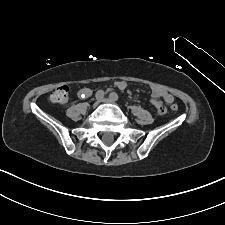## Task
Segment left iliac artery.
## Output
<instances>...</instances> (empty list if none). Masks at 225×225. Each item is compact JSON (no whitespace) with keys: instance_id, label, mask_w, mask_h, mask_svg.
Wrapping results in <instances>:
<instances>
[{"instance_id":"obj_1","label":"left iliac artery","mask_w":225,"mask_h":225,"mask_svg":"<svg viewBox=\"0 0 225 225\" xmlns=\"http://www.w3.org/2000/svg\"><path fill=\"white\" fill-rule=\"evenodd\" d=\"M110 98L115 100V101H117L119 99L117 93H115V92L110 93Z\"/></svg>"}]
</instances>
